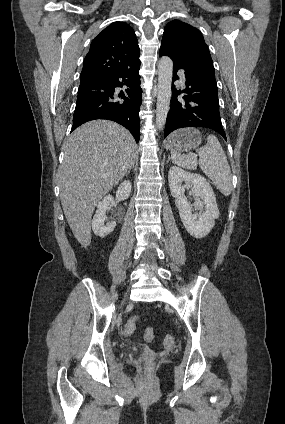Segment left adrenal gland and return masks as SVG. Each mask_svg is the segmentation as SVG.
<instances>
[{"instance_id":"a2214340","label":"left adrenal gland","mask_w":285,"mask_h":424,"mask_svg":"<svg viewBox=\"0 0 285 424\" xmlns=\"http://www.w3.org/2000/svg\"><path fill=\"white\" fill-rule=\"evenodd\" d=\"M169 161H170V157H168L167 163H169Z\"/></svg>"}]
</instances>
